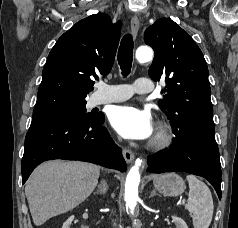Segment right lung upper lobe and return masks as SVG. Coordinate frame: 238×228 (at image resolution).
<instances>
[{
  "mask_svg": "<svg viewBox=\"0 0 238 228\" xmlns=\"http://www.w3.org/2000/svg\"><path fill=\"white\" fill-rule=\"evenodd\" d=\"M121 23L106 14L77 22L56 42L43 68L33 117L85 102L98 75H107L120 39Z\"/></svg>",
  "mask_w": 238,
  "mask_h": 228,
  "instance_id": "right-lung-upper-lobe-1",
  "label": "right lung upper lobe"
}]
</instances>
